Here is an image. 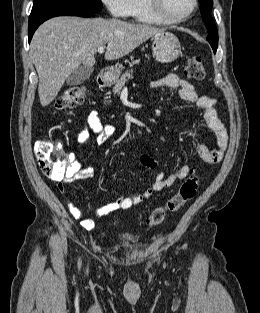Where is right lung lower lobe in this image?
<instances>
[{
	"instance_id": "98d812e1",
	"label": "right lung lower lobe",
	"mask_w": 260,
	"mask_h": 313,
	"mask_svg": "<svg viewBox=\"0 0 260 313\" xmlns=\"http://www.w3.org/2000/svg\"><path fill=\"white\" fill-rule=\"evenodd\" d=\"M96 13L78 12V11H61V10H42L31 12L29 17L28 37L29 42L35 30L44 21L56 16H79V17H94Z\"/></svg>"
}]
</instances>
